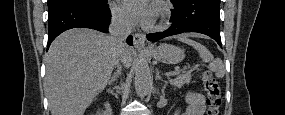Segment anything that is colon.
<instances>
[{
	"mask_svg": "<svg viewBox=\"0 0 285 115\" xmlns=\"http://www.w3.org/2000/svg\"><path fill=\"white\" fill-rule=\"evenodd\" d=\"M201 79L207 95V114L218 115L222 104L220 86L209 71H204Z\"/></svg>",
	"mask_w": 285,
	"mask_h": 115,
	"instance_id": "1",
	"label": "colon"
}]
</instances>
